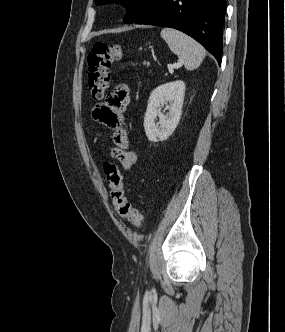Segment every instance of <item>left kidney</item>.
<instances>
[{"mask_svg": "<svg viewBox=\"0 0 285 332\" xmlns=\"http://www.w3.org/2000/svg\"><path fill=\"white\" fill-rule=\"evenodd\" d=\"M184 94L185 83L181 80L160 85L151 92L144 117L146 136L151 142L164 141L174 132L181 118ZM164 104L169 110L167 115L161 112Z\"/></svg>", "mask_w": 285, "mask_h": 332, "instance_id": "obj_1", "label": "left kidney"}]
</instances>
